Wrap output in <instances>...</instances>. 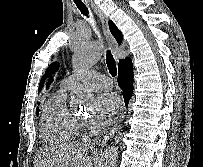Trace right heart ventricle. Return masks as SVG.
<instances>
[{
  "label": "right heart ventricle",
  "instance_id": "right-heart-ventricle-1",
  "mask_svg": "<svg viewBox=\"0 0 203 167\" xmlns=\"http://www.w3.org/2000/svg\"><path fill=\"white\" fill-rule=\"evenodd\" d=\"M61 85L45 103L41 119L42 136L49 143H67L74 140L81 128V119L68 107L66 92Z\"/></svg>",
  "mask_w": 203,
  "mask_h": 167
}]
</instances>
